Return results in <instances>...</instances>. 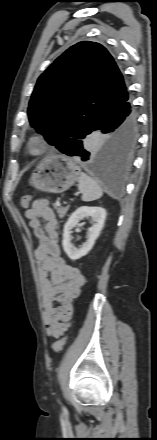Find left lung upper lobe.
<instances>
[{"label": "left lung upper lobe", "mask_w": 157, "mask_h": 440, "mask_svg": "<svg viewBox=\"0 0 157 440\" xmlns=\"http://www.w3.org/2000/svg\"><path fill=\"white\" fill-rule=\"evenodd\" d=\"M127 96L123 75L107 49L82 41L41 74L27 113L30 125L65 153L93 132L99 118Z\"/></svg>", "instance_id": "1"}]
</instances>
